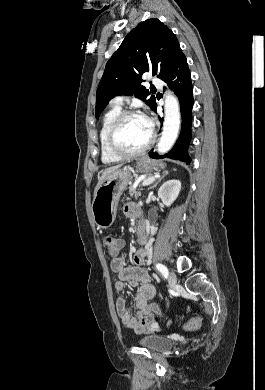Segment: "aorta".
Returning a JSON list of instances; mask_svg holds the SVG:
<instances>
[{
	"label": "aorta",
	"instance_id": "aorta-1",
	"mask_svg": "<svg viewBox=\"0 0 265 390\" xmlns=\"http://www.w3.org/2000/svg\"><path fill=\"white\" fill-rule=\"evenodd\" d=\"M180 127V109L177 98L172 92L165 96V119L162 136L157 148L160 154L168 152L173 146Z\"/></svg>",
	"mask_w": 265,
	"mask_h": 390
}]
</instances>
